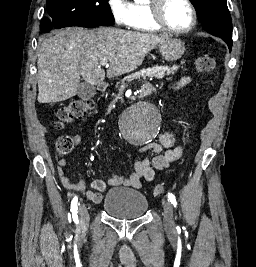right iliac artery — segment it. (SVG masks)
Returning a JSON list of instances; mask_svg holds the SVG:
<instances>
[{
    "label": "right iliac artery",
    "instance_id": "right-iliac-artery-1",
    "mask_svg": "<svg viewBox=\"0 0 256 267\" xmlns=\"http://www.w3.org/2000/svg\"><path fill=\"white\" fill-rule=\"evenodd\" d=\"M77 204H78V198H77V196H75L73 198V200L71 201V209H70L74 221H78V215H77L78 206H77Z\"/></svg>",
    "mask_w": 256,
    "mask_h": 267
}]
</instances>
